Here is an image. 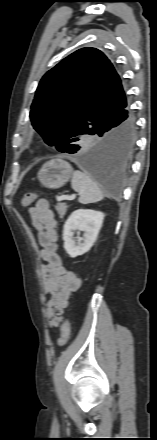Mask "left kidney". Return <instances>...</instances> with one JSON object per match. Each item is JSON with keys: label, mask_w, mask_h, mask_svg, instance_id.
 <instances>
[{"label": "left kidney", "mask_w": 157, "mask_h": 440, "mask_svg": "<svg viewBox=\"0 0 157 440\" xmlns=\"http://www.w3.org/2000/svg\"><path fill=\"white\" fill-rule=\"evenodd\" d=\"M103 219L104 213L89 209H78L70 215L63 230L64 249L70 257L83 255L91 249L102 227ZM74 230L83 231V237L74 240Z\"/></svg>", "instance_id": "left-kidney-1"}]
</instances>
